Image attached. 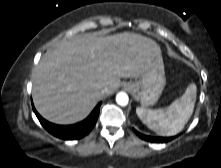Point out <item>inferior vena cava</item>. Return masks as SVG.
Here are the masks:
<instances>
[{
    "mask_svg": "<svg viewBox=\"0 0 221 168\" xmlns=\"http://www.w3.org/2000/svg\"><path fill=\"white\" fill-rule=\"evenodd\" d=\"M107 91V88L102 89V93H105Z\"/></svg>",
    "mask_w": 221,
    "mask_h": 168,
    "instance_id": "obj_1",
    "label": "inferior vena cava"
}]
</instances>
